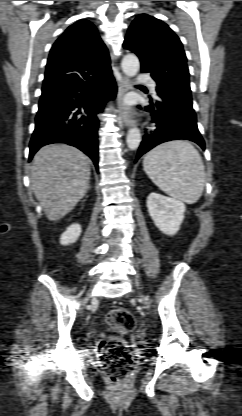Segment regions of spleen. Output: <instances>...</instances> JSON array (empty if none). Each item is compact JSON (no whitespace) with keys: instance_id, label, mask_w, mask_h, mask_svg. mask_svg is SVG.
I'll list each match as a JSON object with an SVG mask.
<instances>
[{"instance_id":"spleen-1","label":"spleen","mask_w":242,"mask_h":416,"mask_svg":"<svg viewBox=\"0 0 242 416\" xmlns=\"http://www.w3.org/2000/svg\"><path fill=\"white\" fill-rule=\"evenodd\" d=\"M143 168L157 187L185 203H195L203 193L205 167L199 152L188 141L158 145L145 155Z\"/></svg>"}]
</instances>
